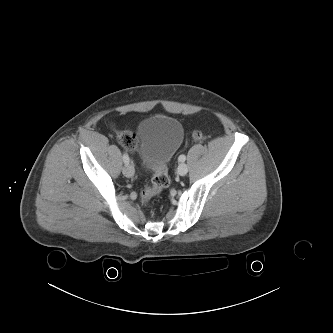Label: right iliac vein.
Instances as JSON below:
<instances>
[{"label": "right iliac vein", "instance_id": "63e3f726", "mask_svg": "<svg viewBox=\"0 0 333 333\" xmlns=\"http://www.w3.org/2000/svg\"><path fill=\"white\" fill-rule=\"evenodd\" d=\"M135 170H134V166L132 164H127L124 168H123V174L130 178L134 175Z\"/></svg>", "mask_w": 333, "mask_h": 333}]
</instances>
